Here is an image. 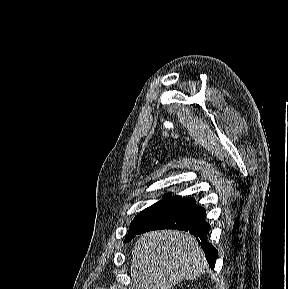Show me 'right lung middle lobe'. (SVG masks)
Masks as SVG:
<instances>
[{
    "label": "right lung middle lobe",
    "mask_w": 288,
    "mask_h": 289,
    "mask_svg": "<svg viewBox=\"0 0 288 289\" xmlns=\"http://www.w3.org/2000/svg\"><path fill=\"white\" fill-rule=\"evenodd\" d=\"M181 200H182V197L180 196H169V197L163 198L159 202L143 210L132 221L131 227H130L128 236L125 239V242L130 241L137 234L138 231L143 229L147 224L155 220L157 217H159L163 213L170 210Z\"/></svg>",
    "instance_id": "1"
}]
</instances>
